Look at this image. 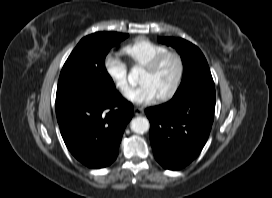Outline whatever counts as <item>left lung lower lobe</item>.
<instances>
[{"label": "left lung lower lobe", "instance_id": "0a47b994", "mask_svg": "<svg viewBox=\"0 0 272 198\" xmlns=\"http://www.w3.org/2000/svg\"><path fill=\"white\" fill-rule=\"evenodd\" d=\"M215 88H198L145 113L150 121V141L158 163L179 170L203 149L214 118Z\"/></svg>", "mask_w": 272, "mask_h": 198}]
</instances>
